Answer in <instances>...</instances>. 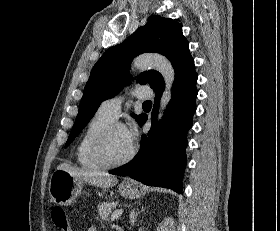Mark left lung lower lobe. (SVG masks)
<instances>
[{
  "label": "left lung lower lobe",
  "instance_id": "left-lung-lower-lobe-1",
  "mask_svg": "<svg viewBox=\"0 0 280 231\" xmlns=\"http://www.w3.org/2000/svg\"><path fill=\"white\" fill-rule=\"evenodd\" d=\"M196 81L197 74L194 67L187 69L174 81L172 98L161 123L152 126L148 138L142 136L141 148L131 162L109 173L129 176L145 185L166 187L182 193V179L186 166V135L192 127V119L196 111ZM155 92L152 123H156L163 88ZM146 120L145 114L137 118L141 126Z\"/></svg>",
  "mask_w": 280,
  "mask_h": 231
}]
</instances>
